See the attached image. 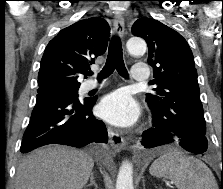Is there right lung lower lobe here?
I'll return each instance as SVG.
<instances>
[{"label": "right lung lower lobe", "instance_id": "right-lung-lower-lobe-1", "mask_svg": "<svg viewBox=\"0 0 223 189\" xmlns=\"http://www.w3.org/2000/svg\"><path fill=\"white\" fill-rule=\"evenodd\" d=\"M95 102L79 100L78 94H37L20 151L27 153L53 143L73 147L107 143L106 126L92 113Z\"/></svg>", "mask_w": 223, "mask_h": 189}]
</instances>
